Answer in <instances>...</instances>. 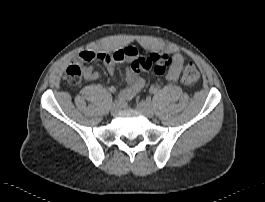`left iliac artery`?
Returning a JSON list of instances; mask_svg holds the SVG:
<instances>
[{"label": "left iliac artery", "instance_id": "obj_1", "mask_svg": "<svg viewBox=\"0 0 265 202\" xmlns=\"http://www.w3.org/2000/svg\"><path fill=\"white\" fill-rule=\"evenodd\" d=\"M149 92H150L151 94H155V93L157 92V89L154 88V87H151V88L149 89Z\"/></svg>", "mask_w": 265, "mask_h": 202}]
</instances>
